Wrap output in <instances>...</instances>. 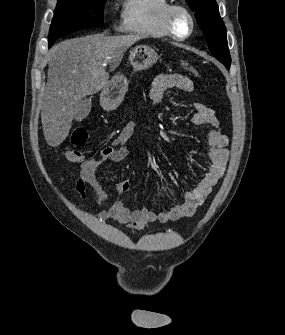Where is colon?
<instances>
[{
	"label": "colon",
	"instance_id": "colon-1",
	"mask_svg": "<svg viewBox=\"0 0 285 335\" xmlns=\"http://www.w3.org/2000/svg\"><path fill=\"white\" fill-rule=\"evenodd\" d=\"M180 65L182 68L189 71L194 76L201 77L199 71L189 61L182 60L180 62ZM87 139H88V132L86 129L78 128L73 132L71 136V142L75 148L69 149L66 152V158L68 159V161L72 163H81L84 161V156L79 147L83 146L86 143Z\"/></svg>",
	"mask_w": 285,
	"mask_h": 335
}]
</instances>
